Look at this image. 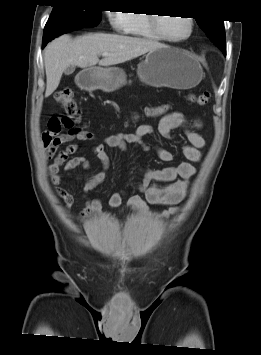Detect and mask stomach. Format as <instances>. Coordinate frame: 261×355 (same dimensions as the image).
I'll return each instance as SVG.
<instances>
[{"instance_id": "stomach-1", "label": "stomach", "mask_w": 261, "mask_h": 355, "mask_svg": "<svg viewBox=\"0 0 261 355\" xmlns=\"http://www.w3.org/2000/svg\"><path fill=\"white\" fill-rule=\"evenodd\" d=\"M81 85L88 89L112 92L124 83L125 72L118 67L87 69ZM140 80L155 87L189 89L203 77L200 63L186 51L163 46L148 52L138 65Z\"/></svg>"}]
</instances>
